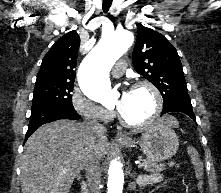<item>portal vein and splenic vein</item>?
<instances>
[{
  "mask_svg": "<svg viewBox=\"0 0 221 193\" xmlns=\"http://www.w3.org/2000/svg\"><path fill=\"white\" fill-rule=\"evenodd\" d=\"M138 168H141V167H143L144 165H143V163H138ZM63 171H67V169H62Z\"/></svg>",
  "mask_w": 221,
  "mask_h": 193,
  "instance_id": "obj_1",
  "label": "portal vein and splenic vein"
}]
</instances>
